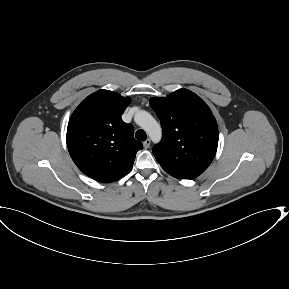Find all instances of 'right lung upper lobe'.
<instances>
[{"mask_svg":"<svg viewBox=\"0 0 289 289\" xmlns=\"http://www.w3.org/2000/svg\"><path fill=\"white\" fill-rule=\"evenodd\" d=\"M130 98L99 90L73 112L67 128V146L77 167L99 182H113L131 169L142 143L134 139L131 124L121 115Z\"/></svg>","mask_w":289,"mask_h":289,"instance_id":"right-lung-upper-lobe-1","label":"right lung upper lobe"}]
</instances>
